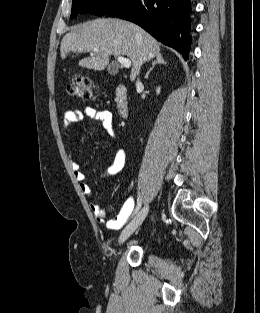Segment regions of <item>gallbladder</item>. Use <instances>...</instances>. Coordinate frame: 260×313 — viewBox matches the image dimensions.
Wrapping results in <instances>:
<instances>
[{
  "instance_id": "gallbladder-1",
  "label": "gallbladder",
  "mask_w": 260,
  "mask_h": 313,
  "mask_svg": "<svg viewBox=\"0 0 260 313\" xmlns=\"http://www.w3.org/2000/svg\"><path fill=\"white\" fill-rule=\"evenodd\" d=\"M108 72L111 74V75H115L117 73V67L112 64L108 67Z\"/></svg>"
}]
</instances>
